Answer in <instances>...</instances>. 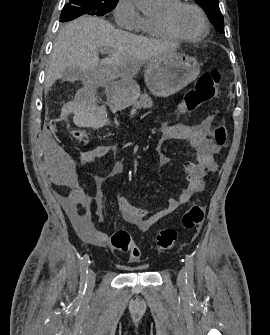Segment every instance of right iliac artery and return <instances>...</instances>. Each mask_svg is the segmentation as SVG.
Listing matches in <instances>:
<instances>
[{"label":"right iliac artery","mask_w":270,"mask_h":335,"mask_svg":"<svg viewBox=\"0 0 270 335\" xmlns=\"http://www.w3.org/2000/svg\"><path fill=\"white\" fill-rule=\"evenodd\" d=\"M88 264H89V256L88 254H85L81 258L80 262V291L82 293H85L86 287H87V276H88Z\"/></svg>","instance_id":"1"}]
</instances>
